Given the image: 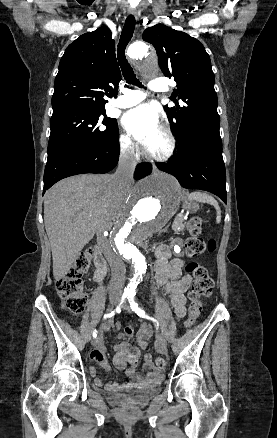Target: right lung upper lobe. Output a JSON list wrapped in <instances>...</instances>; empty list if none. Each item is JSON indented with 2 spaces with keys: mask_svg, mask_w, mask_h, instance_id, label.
I'll return each mask as SVG.
<instances>
[{
  "mask_svg": "<svg viewBox=\"0 0 277 438\" xmlns=\"http://www.w3.org/2000/svg\"><path fill=\"white\" fill-rule=\"evenodd\" d=\"M120 80L110 29L103 26L81 35L67 47L60 60L52 116L105 111L107 100L103 97L116 96Z\"/></svg>",
  "mask_w": 277,
  "mask_h": 438,
  "instance_id": "obj_1",
  "label": "right lung upper lobe"
}]
</instances>
